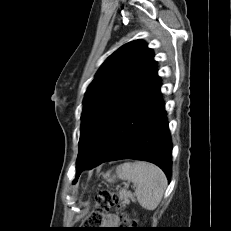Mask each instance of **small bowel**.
<instances>
[{"label":"small bowel","instance_id":"obj_1","mask_svg":"<svg viewBox=\"0 0 231 231\" xmlns=\"http://www.w3.org/2000/svg\"><path fill=\"white\" fill-rule=\"evenodd\" d=\"M120 219L119 216L116 214H109L106 217L104 227L105 229H111L119 225Z\"/></svg>","mask_w":231,"mask_h":231}]
</instances>
